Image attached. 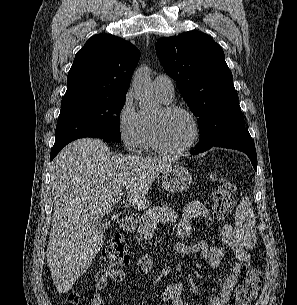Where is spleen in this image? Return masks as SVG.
Instances as JSON below:
<instances>
[{"label": "spleen", "mask_w": 297, "mask_h": 305, "mask_svg": "<svg viewBox=\"0 0 297 305\" xmlns=\"http://www.w3.org/2000/svg\"><path fill=\"white\" fill-rule=\"evenodd\" d=\"M235 227L239 235L244 239H249L251 243L256 240V221L252 204L245 196L238 205L235 212Z\"/></svg>", "instance_id": "spleen-1"}]
</instances>
